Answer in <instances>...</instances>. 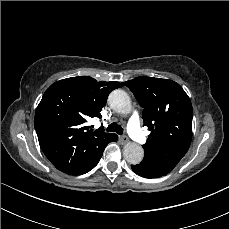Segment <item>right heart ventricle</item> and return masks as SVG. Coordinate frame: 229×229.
Here are the masks:
<instances>
[{"label": "right heart ventricle", "instance_id": "obj_1", "mask_svg": "<svg viewBox=\"0 0 229 229\" xmlns=\"http://www.w3.org/2000/svg\"><path fill=\"white\" fill-rule=\"evenodd\" d=\"M120 93H122V92H120ZM122 94H124V93H122ZM125 96H126V94H124ZM127 97V96H126ZM128 98V97H127Z\"/></svg>", "mask_w": 229, "mask_h": 229}]
</instances>
